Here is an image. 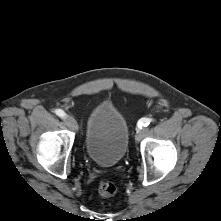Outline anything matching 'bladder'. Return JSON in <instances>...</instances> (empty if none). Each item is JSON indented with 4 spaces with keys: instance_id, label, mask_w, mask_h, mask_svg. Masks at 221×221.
Listing matches in <instances>:
<instances>
[{
    "instance_id": "bladder-1",
    "label": "bladder",
    "mask_w": 221,
    "mask_h": 221,
    "mask_svg": "<svg viewBox=\"0 0 221 221\" xmlns=\"http://www.w3.org/2000/svg\"><path fill=\"white\" fill-rule=\"evenodd\" d=\"M129 143L126 118L111 101L97 103L90 111L85 132V152L98 166L111 167L124 157Z\"/></svg>"
}]
</instances>
